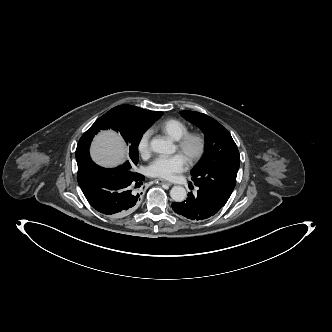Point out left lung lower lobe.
Masks as SVG:
<instances>
[{"label": "left lung lower lobe", "mask_w": 332, "mask_h": 332, "mask_svg": "<svg viewBox=\"0 0 332 332\" xmlns=\"http://www.w3.org/2000/svg\"><path fill=\"white\" fill-rule=\"evenodd\" d=\"M226 202L218 195L198 187L197 193H189L187 200L183 202L172 203V208L188 219L200 221L215 215Z\"/></svg>", "instance_id": "left-lung-lower-lobe-1"}]
</instances>
